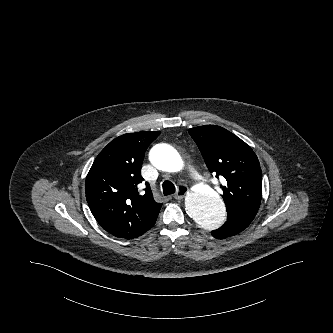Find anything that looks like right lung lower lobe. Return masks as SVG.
<instances>
[{
    "label": "right lung lower lobe",
    "mask_w": 333,
    "mask_h": 333,
    "mask_svg": "<svg viewBox=\"0 0 333 333\" xmlns=\"http://www.w3.org/2000/svg\"><path fill=\"white\" fill-rule=\"evenodd\" d=\"M157 217H158V215L155 216V217H154V218L148 223V225H146V227H145L143 233H145L147 230H149V229L155 224ZM143 233H142V234H143Z\"/></svg>",
    "instance_id": "1"
}]
</instances>
